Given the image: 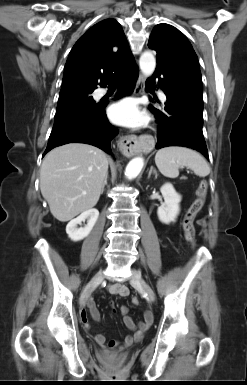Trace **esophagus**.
I'll return each mask as SVG.
<instances>
[{
  "label": "esophagus",
  "mask_w": 247,
  "mask_h": 385,
  "mask_svg": "<svg viewBox=\"0 0 247 385\" xmlns=\"http://www.w3.org/2000/svg\"><path fill=\"white\" fill-rule=\"evenodd\" d=\"M145 85V77L139 74L137 84L135 86L134 94L138 96ZM119 148L125 156H133L140 148L138 138L135 135L122 136L119 140Z\"/></svg>",
  "instance_id": "1"
}]
</instances>
